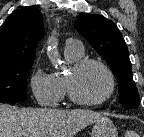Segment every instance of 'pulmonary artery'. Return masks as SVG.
<instances>
[{
	"label": "pulmonary artery",
	"mask_w": 144,
	"mask_h": 137,
	"mask_svg": "<svg viewBox=\"0 0 144 137\" xmlns=\"http://www.w3.org/2000/svg\"><path fill=\"white\" fill-rule=\"evenodd\" d=\"M66 44L67 45H72L78 50H83V46H82L81 42L78 41V40L70 38V39L67 40Z\"/></svg>",
	"instance_id": "obj_1"
}]
</instances>
